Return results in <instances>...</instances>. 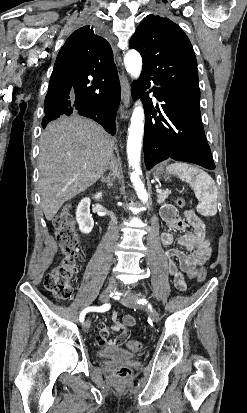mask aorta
Returning a JSON list of instances; mask_svg holds the SVG:
<instances>
[{"mask_svg": "<svg viewBox=\"0 0 247 413\" xmlns=\"http://www.w3.org/2000/svg\"><path fill=\"white\" fill-rule=\"evenodd\" d=\"M124 63L127 72H129L134 79H137L142 70V58L140 54L136 50L128 51L124 57ZM128 131L127 156L129 165L133 169L131 173V182L133 183L139 199L143 202H147L148 193L144 187V183L140 179V154L144 133V110L140 100L136 102L134 107Z\"/></svg>", "mask_w": 247, "mask_h": 413, "instance_id": "aorta-1", "label": "aorta"}]
</instances>
